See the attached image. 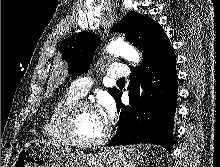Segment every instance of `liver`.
Segmentation results:
<instances>
[{
    "instance_id": "obj_1",
    "label": "liver",
    "mask_w": 220,
    "mask_h": 167,
    "mask_svg": "<svg viewBox=\"0 0 220 167\" xmlns=\"http://www.w3.org/2000/svg\"><path fill=\"white\" fill-rule=\"evenodd\" d=\"M34 142H41V141H34ZM42 143H45L44 141H42Z\"/></svg>"
}]
</instances>
